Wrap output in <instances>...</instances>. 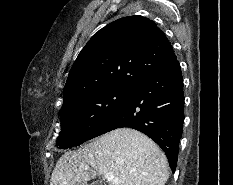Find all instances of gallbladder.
I'll return each mask as SVG.
<instances>
[{
  "label": "gallbladder",
  "mask_w": 233,
  "mask_h": 185,
  "mask_svg": "<svg viewBox=\"0 0 233 185\" xmlns=\"http://www.w3.org/2000/svg\"><path fill=\"white\" fill-rule=\"evenodd\" d=\"M93 185H102V184H100L99 182H96V183H94Z\"/></svg>",
  "instance_id": "gallbladder-1"
}]
</instances>
